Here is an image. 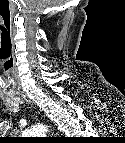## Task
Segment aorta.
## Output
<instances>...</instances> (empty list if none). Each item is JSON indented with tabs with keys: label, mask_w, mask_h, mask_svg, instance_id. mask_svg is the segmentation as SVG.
<instances>
[{
	"label": "aorta",
	"mask_w": 125,
	"mask_h": 143,
	"mask_svg": "<svg viewBox=\"0 0 125 143\" xmlns=\"http://www.w3.org/2000/svg\"><path fill=\"white\" fill-rule=\"evenodd\" d=\"M47 131V127L42 126V125H36L33 128H31L30 130L27 131L28 135H44V133Z\"/></svg>",
	"instance_id": "1"
}]
</instances>
